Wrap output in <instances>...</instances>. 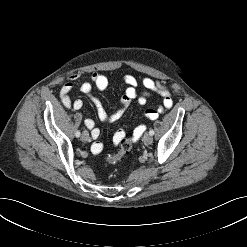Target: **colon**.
Returning <instances> with one entry per match:
<instances>
[{
    "label": "colon",
    "mask_w": 247,
    "mask_h": 247,
    "mask_svg": "<svg viewBox=\"0 0 247 247\" xmlns=\"http://www.w3.org/2000/svg\"><path fill=\"white\" fill-rule=\"evenodd\" d=\"M116 139L120 143V148L115 153L108 154L104 161L108 165H114L119 162L124 156L128 155L132 149V143L129 139H125L120 134H117Z\"/></svg>",
    "instance_id": "obj_1"
}]
</instances>
